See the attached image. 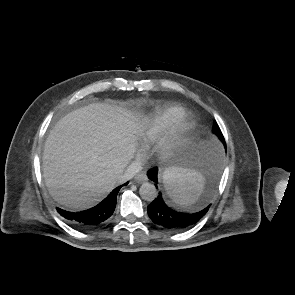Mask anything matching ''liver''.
<instances>
[{
    "label": "liver",
    "mask_w": 295,
    "mask_h": 295,
    "mask_svg": "<svg viewBox=\"0 0 295 295\" xmlns=\"http://www.w3.org/2000/svg\"><path fill=\"white\" fill-rule=\"evenodd\" d=\"M144 123L121 107L94 103L60 119L43 152L50 195L74 210L93 207L120 183Z\"/></svg>",
    "instance_id": "6515ba94"
}]
</instances>
